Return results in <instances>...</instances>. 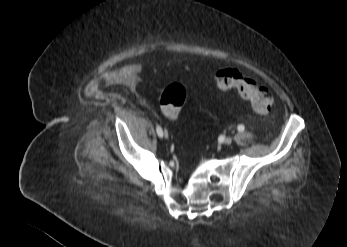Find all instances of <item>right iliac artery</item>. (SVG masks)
I'll return each instance as SVG.
<instances>
[{"label":"right iliac artery","instance_id":"82829eb1","mask_svg":"<svg viewBox=\"0 0 347 247\" xmlns=\"http://www.w3.org/2000/svg\"><path fill=\"white\" fill-rule=\"evenodd\" d=\"M156 131L159 137L163 136V130L159 125L156 126Z\"/></svg>","mask_w":347,"mask_h":247}]
</instances>
